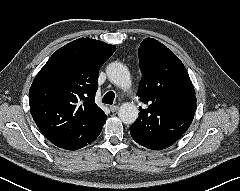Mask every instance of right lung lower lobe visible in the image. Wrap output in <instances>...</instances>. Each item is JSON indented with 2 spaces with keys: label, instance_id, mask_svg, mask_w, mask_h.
<instances>
[{
  "label": "right lung lower lobe",
  "instance_id": "98d812e1",
  "mask_svg": "<svg viewBox=\"0 0 240 191\" xmlns=\"http://www.w3.org/2000/svg\"><path fill=\"white\" fill-rule=\"evenodd\" d=\"M104 124H105V122L102 125H100L92 133L80 136L78 138H72V139L62 140V141H57V142H52V143L60 148L67 149V150L80 149V148L92 143L99 136Z\"/></svg>",
  "mask_w": 240,
  "mask_h": 191
}]
</instances>
